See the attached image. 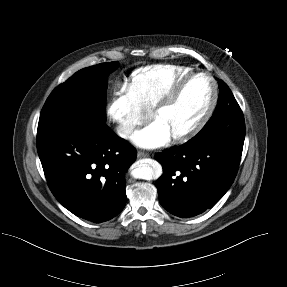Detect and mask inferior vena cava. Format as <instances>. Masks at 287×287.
Returning <instances> with one entry per match:
<instances>
[{"mask_svg":"<svg viewBox=\"0 0 287 287\" xmlns=\"http://www.w3.org/2000/svg\"><path fill=\"white\" fill-rule=\"evenodd\" d=\"M134 126L132 124H126V125H119L116 128L117 134L122 138H129V136L133 133Z\"/></svg>","mask_w":287,"mask_h":287,"instance_id":"inferior-vena-cava-1","label":"inferior vena cava"}]
</instances>
